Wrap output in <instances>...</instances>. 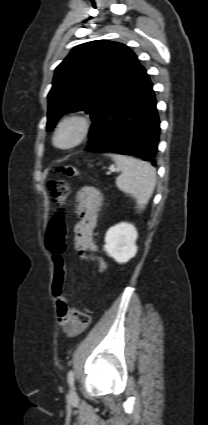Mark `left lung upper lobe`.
<instances>
[{
    "label": "left lung upper lobe",
    "mask_w": 208,
    "mask_h": 425,
    "mask_svg": "<svg viewBox=\"0 0 208 425\" xmlns=\"http://www.w3.org/2000/svg\"><path fill=\"white\" fill-rule=\"evenodd\" d=\"M141 68L135 53L121 43L96 40L76 46L55 70L47 127L73 111H86L94 121Z\"/></svg>",
    "instance_id": "5c2ea615"
}]
</instances>
